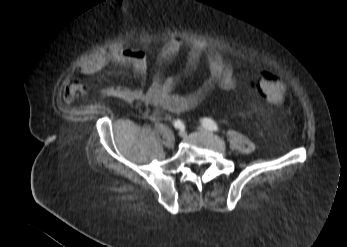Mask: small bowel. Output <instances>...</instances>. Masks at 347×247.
Returning a JSON list of instances; mask_svg holds the SVG:
<instances>
[{"label":"small bowel","mask_w":347,"mask_h":247,"mask_svg":"<svg viewBox=\"0 0 347 247\" xmlns=\"http://www.w3.org/2000/svg\"><path fill=\"white\" fill-rule=\"evenodd\" d=\"M187 45L185 71H192L201 57H205L208 76L192 92L176 94L174 89L178 83V76H165L163 67L171 61ZM110 63L122 67H130L135 79L143 84L147 77V56L142 48L112 47L105 51L94 53L78 64V70L83 75H93L100 72ZM237 78L233 65L225 60L220 52L210 48L201 42L187 44L180 38L166 40L159 49L155 58V74L148 88L126 87L112 85L107 87L110 95L127 102H142L153 110L146 112V116L152 121L162 118V111L182 113L195 108L200 101L213 89L219 87L225 91L237 87ZM83 93V87L79 83L69 84L63 92L66 102H72Z\"/></svg>","instance_id":"small-bowel-1"}]
</instances>
